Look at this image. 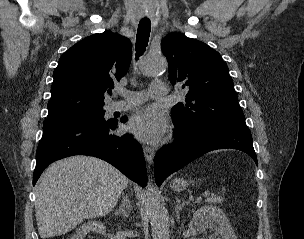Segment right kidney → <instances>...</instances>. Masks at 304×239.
<instances>
[{"mask_svg":"<svg viewBox=\"0 0 304 239\" xmlns=\"http://www.w3.org/2000/svg\"><path fill=\"white\" fill-rule=\"evenodd\" d=\"M105 231V226L102 222L99 221H88L80 226L76 233L72 236L71 239H84L85 236L90 233H102Z\"/></svg>","mask_w":304,"mask_h":239,"instance_id":"ca27d5eb","label":"right kidney"}]
</instances>
